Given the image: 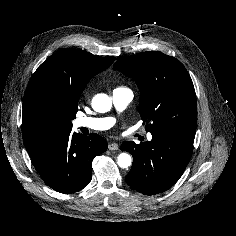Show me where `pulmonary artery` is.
I'll list each match as a JSON object with an SVG mask.
<instances>
[{"label": "pulmonary artery", "instance_id": "pulmonary-artery-1", "mask_svg": "<svg viewBox=\"0 0 236 236\" xmlns=\"http://www.w3.org/2000/svg\"><path fill=\"white\" fill-rule=\"evenodd\" d=\"M133 99V92L124 87L116 88L112 92V102L118 112L123 111ZM115 123V119L112 117L94 118V117H82L75 121L76 128H88L92 130H107ZM148 138L151 139V134H148Z\"/></svg>", "mask_w": 236, "mask_h": 236}]
</instances>
